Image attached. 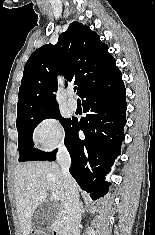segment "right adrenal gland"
Wrapping results in <instances>:
<instances>
[{"mask_svg": "<svg viewBox=\"0 0 155 235\" xmlns=\"http://www.w3.org/2000/svg\"><path fill=\"white\" fill-rule=\"evenodd\" d=\"M80 208H81V211L84 212V210H83V203L82 202L80 203Z\"/></svg>", "mask_w": 155, "mask_h": 235, "instance_id": "obj_1", "label": "right adrenal gland"}]
</instances>
